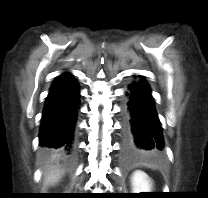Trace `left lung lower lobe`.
<instances>
[{"mask_svg": "<svg viewBox=\"0 0 208 198\" xmlns=\"http://www.w3.org/2000/svg\"><path fill=\"white\" fill-rule=\"evenodd\" d=\"M122 108V152L125 157L158 155L163 147L161 124L144 78L128 87Z\"/></svg>", "mask_w": 208, "mask_h": 198, "instance_id": "1", "label": "left lung lower lobe"}]
</instances>
